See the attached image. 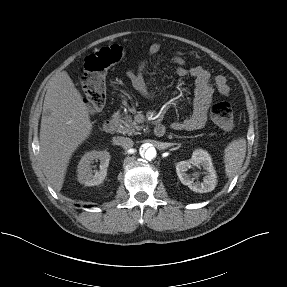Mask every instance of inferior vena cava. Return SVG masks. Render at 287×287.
<instances>
[{"label":"inferior vena cava","mask_w":287,"mask_h":287,"mask_svg":"<svg viewBox=\"0 0 287 287\" xmlns=\"http://www.w3.org/2000/svg\"><path fill=\"white\" fill-rule=\"evenodd\" d=\"M116 145L121 146L124 149H130L133 147V141L130 138L118 136L114 139Z\"/></svg>","instance_id":"inferior-vena-cava-1"}]
</instances>
